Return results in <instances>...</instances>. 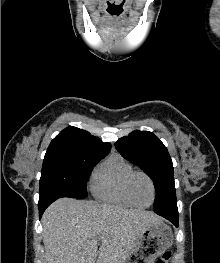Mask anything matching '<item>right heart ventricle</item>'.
Masks as SVG:
<instances>
[{
	"label": "right heart ventricle",
	"instance_id": "right-heart-ventricle-1",
	"mask_svg": "<svg viewBox=\"0 0 220 263\" xmlns=\"http://www.w3.org/2000/svg\"><path fill=\"white\" fill-rule=\"evenodd\" d=\"M134 168L120 155H111L93 172L90 190L94 197L102 202L122 207L134 206L126 192L128 177Z\"/></svg>",
	"mask_w": 220,
	"mask_h": 263
}]
</instances>
